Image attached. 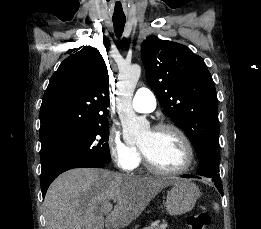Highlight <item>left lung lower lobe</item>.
I'll return each instance as SVG.
<instances>
[{"instance_id":"obj_1","label":"left lung lower lobe","mask_w":261,"mask_h":229,"mask_svg":"<svg viewBox=\"0 0 261 229\" xmlns=\"http://www.w3.org/2000/svg\"><path fill=\"white\" fill-rule=\"evenodd\" d=\"M198 174L202 177L212 178L218 191L223 195V187L219 174V161L217 152L207 153L199 163ZM182 177L189 178L190 175ZM200 178V177H199Z\"/></svg>"}]
</instances>
